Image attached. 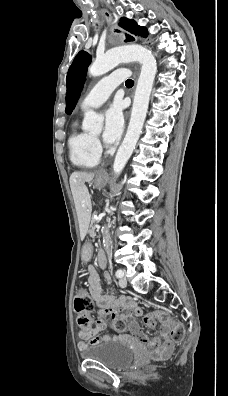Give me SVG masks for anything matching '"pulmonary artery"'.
Instances as JSON below:
<instances>
[{"mask_svg":"<svg viewBox=\"0 0 228 396\" xmlns=\"http://www.w3.org/2000/svg\"><path fill=\"white\" fill-rule=\"evenodd\" d=\"M129 75L125 69H119L101 79L85 96L81 109L96 108L101 106L111 95L113 90Z\"/></svg>","mask_w":228,"mask_h":396,"instance_id":"obj_1","label":"pulmonary artery"}]
</instances>
